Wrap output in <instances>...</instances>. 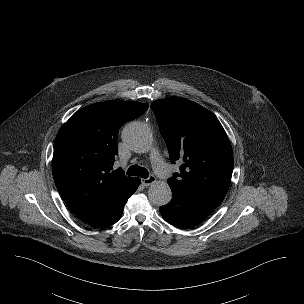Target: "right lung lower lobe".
Returning <instances> with one entry per match:
<instances>
[{"label":"right lung lower lobe","mask_w":304,"mask_h":304,"mask_svg":"<svg viewBox=\"0 0 304 304\" xmlns=\"http://www.w3.org/2000/svg\"><path fill=\"white\" fill-rule=\"evenodd\" d=\"M139 184L140 179L134 178V180L118 194L105 210L87 222L94 227H107L116 223L122 215L124 205L128 198L136 191Z\"/></svg>","instance_id":"obj_1"}]
</instances>
